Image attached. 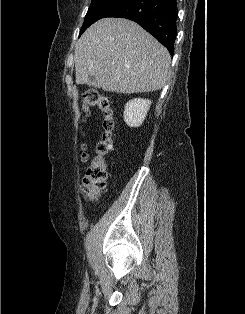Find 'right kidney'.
<instances>
[{"instance_id":"right-kidney-1","label":"right kidney","mask_w":245,"mask_h":314,"mask_svg":"<svg viewBox=\"0 0 245 314\" xmlns=\"http://www.w3.org/2000/svg\"><path fill=\"white\" fill-rule=\"evenodd\" d=\"M151 105L150 100L136 98L126 103L123 117L130 127H139L145 120Z\"/></svg>"}]
</instances>
